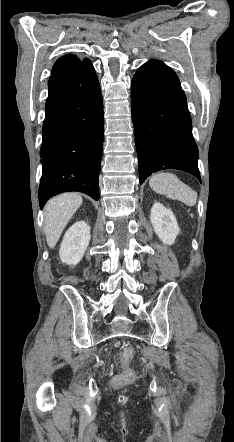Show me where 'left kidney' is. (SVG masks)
I'll list each match as a JSON object with an SVG mask.
<instances>
[{
    "label": "left kidney",
    "mask_w": 234,
    "mask_h": 442,
    "mask_svg": "<svg viewBox=\"0 0 234 442\" xmlns=\"http://www.w3.org/2000/svg\"><path fill=\"white\" fill-rule=\"evenodd\" d=\"M150 221L156 235L164 244L172 245L175 242L180 230L176 217L170 209L155 202L151 209Z\"/></svg>",
    "instance_id": "5707ae66"
}]
</instances>
